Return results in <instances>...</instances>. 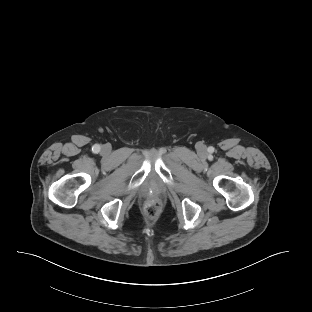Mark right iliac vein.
I'll return each mask as SVG.
<instances>
[{
    "mask_svg": "<svg viewBox=\"0 0 312 312\" xmlns=\"http://www.w3.org/2000/svg\"><path fill=\"white\" fill-rule=\"evenodd\" d=\"M110 151V148L108 146H103L102 147V152L103 153H108Z\"/></svg>",
    "mask_w": 312,
    "mask_h": 312,
    "instance_id": "obj_1",
    "label": "right iliac vein"
}]
</instances>
